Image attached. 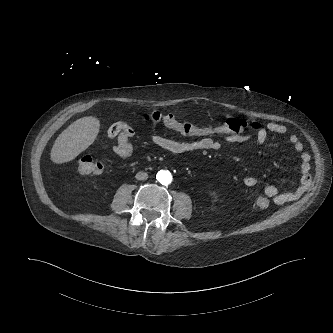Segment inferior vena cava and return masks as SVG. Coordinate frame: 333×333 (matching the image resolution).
I'll return each instance as SVG.
<instances>
[{
  "mask_svg": "<svg viewBox=\"0 0 333 333\" xmlns=\"http://www.w3.org/2000/svg\"><path fill=\"white\" fill-rule=\"evenodd\" d=\"M135 178H136L137 180H140V181H142V180H147V179H148V174H147L146 172L141 171V172H138V173L136 174Z\"/></svg>",
  "mask_w": 333,
  "mask_h": 333,
  "instance_id": "602c4592",
  "label": "inferior vena cava"
}]
</instances>
